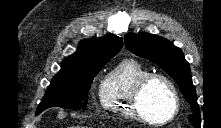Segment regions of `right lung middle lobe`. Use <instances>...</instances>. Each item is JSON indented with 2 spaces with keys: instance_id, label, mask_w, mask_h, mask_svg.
Instances as JSON below:
<instances>
[{
  "instance_id": "1",
  "label": "right lung middle lobe",
  "mask_w": 221,
  "mask_h": 128,
  "mask_svg": "<svg viewBox=\"0 0 221 128\" xmlns=\"http://www.w3.org/2000/svg\"><path fill=\"white\" fill-rule=\"evenodd\" d=\"M114 56L112 55L99 63L88 64L71 71L59 72L55 75L38 106L36 115L54 106L68 109L86 108L88 90L94 77Z\"/></svg>"
}]
</instances>
